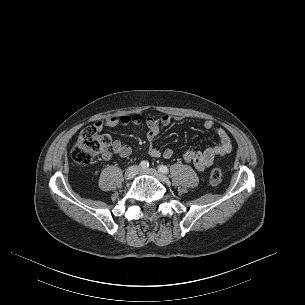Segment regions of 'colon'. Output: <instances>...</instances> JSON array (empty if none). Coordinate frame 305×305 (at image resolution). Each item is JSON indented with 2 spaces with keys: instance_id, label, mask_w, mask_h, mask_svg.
Instances as JSON below:
<instances>
[{
  "instance_id": "1",
  "label": "colon",
  "mask_w": 305,
  "mask_h": 305,
  "mask_svg": "<svg viewBox=\"0 0 305 305\" xmlns=\"http://www.w3.org/2000/svg\"><path fill=\"white\" fill-rule=\"evenodd\" d=\"M109 146L110 138L108 135L101 133L95 126H88L80 132L71 156L76 164L85 166L90 164L96 155L107 151ZM222 178L220 169L214 168L211 171L209 178L211 184H219Z\"/></svg>"
}]
</instances>
